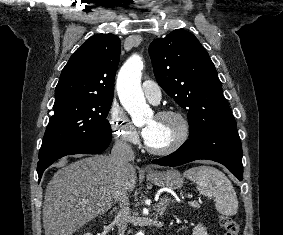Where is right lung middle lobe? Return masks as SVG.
<instances>
[{
  "label": "right lung middle lobe",
  "instance_id": "dd1d6c3e",
  "mask_svg": "<svg viewBox=\"0 0 283 235\" xmlns=\"http://www.w3.org/2000/svg\"><path fill=\"white\" fill-rule=\"evenodd\" d=\"M113 98L73 97L54 103V115L44 134L39 159L78 140L111 135L106 119Z\"/></svg>",
  "mask_w": 283,
  "mask_h": 235
}]
</instances>
